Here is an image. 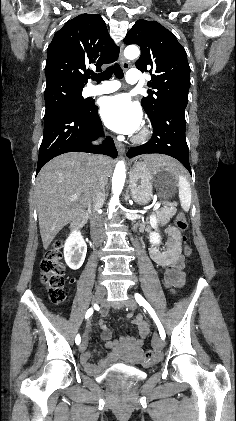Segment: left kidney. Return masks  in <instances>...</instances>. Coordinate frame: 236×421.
Here are the masks:
<instances>
[{
  "mask_svg": "<svg viewBox=\"0 0 236 421\" xmlns=\"http://www.w3.org/2000/svg\"><path fill=\"white\" fill-rule=\"evenodd\" d=\"M157 223H158V219H157L156 215H151L150 225H151L152 229H156V231H157V227H158ZM149 241H150V243H152L153 247H154V245H160L161 237H160L159 233H150Z\"/></svg>",
  "mask_w": 236,
  "mask_h": 421,
  "instance_id": "1",
  "label": "left kidney"
}]
</instances>
